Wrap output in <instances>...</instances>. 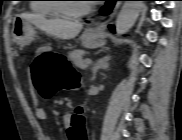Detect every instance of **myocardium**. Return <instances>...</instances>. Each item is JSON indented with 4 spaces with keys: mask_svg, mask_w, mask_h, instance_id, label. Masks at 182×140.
Instances as JSON below:
<instances>
[{
    "mask_svg": "<svg viewBox=\"0 0 182 140\" xmlns=\"http://www.w3.org/2000/svg\"><path fill=\"white\" fill-rule=\"evenodd\" d=\"M60 1L61 2L56 4L57 11L59 12L60 15L66 18L76 19V18L83 17L86 14H88L92 9V6L90 4H86V6L81 10L71 11L67 8L66 4L62 2L63 0H60Z\"/></svg>",
    "mask_w": 182,
    "mask_h": 140,
    "instance_id": "obj_1",
    "label": "myocardium"
}]
</instances>
